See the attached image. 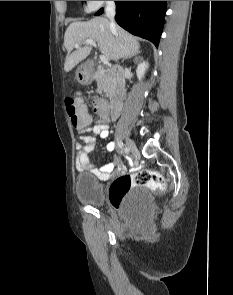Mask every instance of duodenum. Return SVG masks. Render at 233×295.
<instances>
[{
    "label": "duodenum",
    "mask_w": 233,
    "mask_h": 295,
    "mask_svg": "<svg viewBox=\"0 0 233 295\" xmlns=\"http://www.w3.org/2000/svg\"><path fill=\"white\" fill-rule=\"evenodd\" d=\"M114 81V87L111 93V112L112 115H117L122 107V103L125 97V90L122 86L123 72L119 68H112L105 72Z\"/></svg>",
    "instance_id": "duodenum-1"
}]
</instances>
